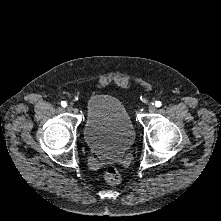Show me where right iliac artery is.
Segmentation results:
<instances>
[{
  "mask_svg": "<svg viewBox=\"0 0 221 221\" xmlns=\"http://www.w3.org/2000/svg\"><path fill=\"white\" fill-rule=\"evenodd\" d=\"M61 106H62V107H66V106H67V103H66L65 101H62V102H61Z\"/></svg>",
  "mask_w": 221,
  "mask_h": 221,
  "instance_id": "right-iliac-artery-1",
  "label": "right iliac artery"
}]
</instances>
